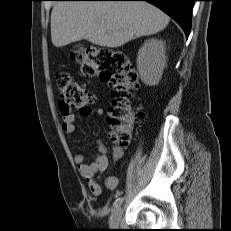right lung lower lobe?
Here are the masks:
<instances>
[{
  "instance_id": "obj_1",
  "label": "right lung lower lobe",
  "mask_w": 231,
  "mask_h": 231,
  "mask_svg": "<svg viewBox=\"0 0 231 231\" xmlns=\"http://www.w3.org/2000/svg\"><path fill=\"white\" fill-rule=\"evenodd\" d=\"M91 1V0H90ZM92 1H147L160 8L173 18L189 36L191 30V15L193 3L196 0H92Z\"/></svg>"
}]
</instances>
